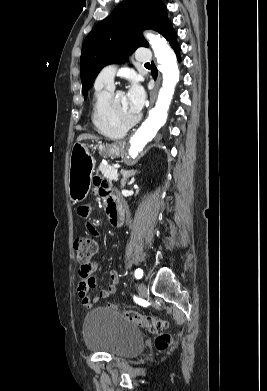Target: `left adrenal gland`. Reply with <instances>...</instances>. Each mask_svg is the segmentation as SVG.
<instances>
[{
  "mask_svg": "<svg viewBox=\"0 0 267 391\" xmlns=\"http://www.w3.org/2000/svg\"><path fill=\"white\" fill-rule=\"evenodd\" d=\"M136 170H121V174L123 176L121 180V186L124 187L126 185L127 179L136 174Z\"/></svg>",
  "mask_w": 267,
  "mask_h": 391,
  "instance_id": "left-adrenal-gland-1",
  "label": "left adrenal gland"
}]
</instances>
